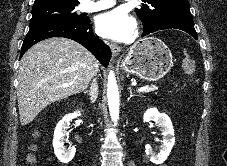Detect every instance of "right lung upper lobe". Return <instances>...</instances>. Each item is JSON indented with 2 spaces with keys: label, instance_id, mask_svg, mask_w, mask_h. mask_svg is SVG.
<instances>
[{
  "label": "right lung upper lobe",
  "instance_id": "cb5924a9",
  "mask_svg": "<svg viewBox=\"0 0 227 166\" xmlns=\"http://www.w3.org/2000/svg\"><path fill=\"white\" fill-rule=\"evenodd\" d=\"M44 3H70V4H79L78 0H35L34 5L44 4Z\"/></svg>",
  "mask_w": 227,
  "mask_h": 166
}]
</instances>
